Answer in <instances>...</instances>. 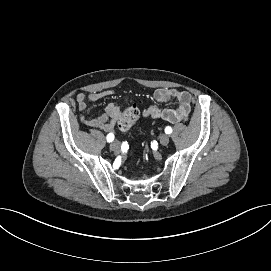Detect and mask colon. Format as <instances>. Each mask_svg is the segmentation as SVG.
Masks as SVG:
<instances>
[{"mask_svg": "<svg viewBox=\"0 0 271 271\" xmlns=\"http://www.w3.org/2000/svg\"><path fill=\"white\" fill-rule=\"evenodd\" d=\"M139 109L136 105L128 107L121 119L119 120L118 127L121 131H128L139 118Z\"/></svg>", "mask_w": 271, "mask_h": 271, "instance_id": "colon-1", "label": "colon"}]
</instances>
